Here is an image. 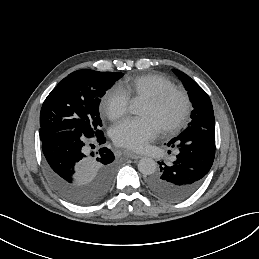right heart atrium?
<instances>
[{
  "label": "right heart atrium",
  "instance_id": "obj_1",
  "mask_svg": "<svg viewBox=\"0 0 259 259\" xmlns=\"http://www.w3.org/2000/svg\"><path fill=\"white\" fill-rule=\"evenodd\" d=\"M104 113L110 119H117L128 112L129 100L110 89L102 97Z\"/></svg>",
  "mask_w": 259,
  "mask_h": 259
}]
</instances>
